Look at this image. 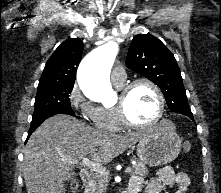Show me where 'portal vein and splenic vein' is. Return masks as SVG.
I'll list each match as a JSON object with an SVG mask.
<instances>
[{"label": "portal vein and splenic vein", "mask_w": 221, "mask_h": 193, "mask_svg": "<svg viewBox=\"0 0 221 193\" xmlns=\"http://www.w3.org/2000/svg\"><path fill=\"white\" fill-rule=\"evenodd\" d=\"M65 162L69 163V164H81L84 167H88L96 172H98L101 175H108L109 171L106 170V168L104 166H102L101 164L97 163V162H93L91 161L89 158L84 157L81 161L79 160H68L66 159ZM131 167H127L125 169V173H130L131 172Z\"/></svg>", "instance_id": "1"}]
</instances>
